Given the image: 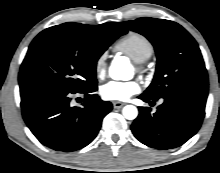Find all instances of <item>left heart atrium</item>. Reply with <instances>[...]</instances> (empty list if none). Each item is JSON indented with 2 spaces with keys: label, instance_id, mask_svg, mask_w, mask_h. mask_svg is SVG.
Returning <instances> with one entry per match:
<instances>
[{
  "label": "left heart atrium",
  "instance_id": "1",
  "mask_svg": "<svg viewBox=\"0 0 220 173\" xmlns=\"http://www.w3.org/2000/svg\"><path fill=\"white\" fill-rule=\"evenodd\" d=\"M140 91L137 81H109L100 88L101 96L109 101H126Z\"/></svg>",
  "mask_w": 220,
  "mask_h": 173
}]
</instances>
